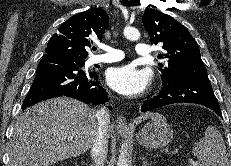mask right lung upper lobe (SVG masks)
<instances>
[{
  "label": "right lung upper lobe",
  "mask_w": 231,
  "mask_h": 166,
  "mask_svg": "<svg viewBox=\"0 0 231 166\" xmlns=\"http://www.w3.org/2000/svg\"><path fill=\"white\" fill-rule=\"evenodd\" d=\"M108 14L101 8L78 13L65 21L48 42L46 55L67 61H85V47L101 39L108 28Z\"/></svg>",
  "instance_id": "obj_1"
}]
</instances>
